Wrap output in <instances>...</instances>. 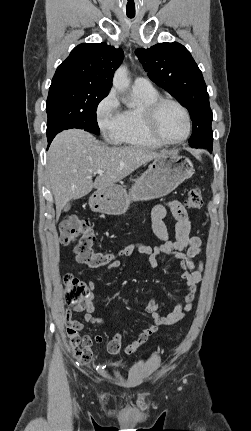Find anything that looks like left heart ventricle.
Instances as JSON below:
<instances>
[{"mask_svg": "<svg viewBox=\"0 0 251 431\" xmlns=\"http://www.w3.org/2000/svg\"><path fill=\"white\" fill-rule=\"evenodd\" d=\"M157 126L162 137L169 141L181 139L186 131L182 111L172 104L162 107L158 115Z\"/></svg>", "mask_w": 251, "mask_h": 431, "instance_id": "obj_1", "label": "left heart ventricle"}]
</instances>
